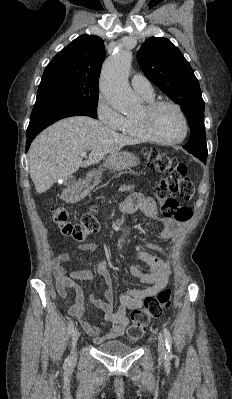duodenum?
Segmentation results:
<instances>
[{
	"label": "duodenum",
	"instance_id": "obj_1",
	"mask_svg": "<svg viewBox=\"0 0 232 399\" xmlns=\"http://www.w3.org/2000/svg\"><path fill=\"white\" fill-rule=\"evenodd\" d=\"M79 194V190L78 189H75V190H73L71 193H70V195H72V196H76V195H78Z\"/></svg>",
	"mask_w": 232,
	"mask_h": 399
}]
</instances>
